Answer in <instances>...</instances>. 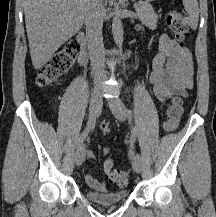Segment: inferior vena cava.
Returning a JSON list of instances; mask_svg holds the SVG:
<instances>
[{
    "label": "inferior vena cava",
    "instance_id": "1",
    "mask_svg": "<svg viewBox=\"0 0 216 217\" xmlns=\"http://www.w3.org/2000/svg\"><path fill=\"white\" fill-rule=\"evenodd\" d=\"M105 8L103 0H88L86 8V38L91 61L94 84L99 86L106 78L104 68V45L102 36Z\"/></svg>",
    "mask_w": 216,
    "mask_h": 217
}]
</instances>
